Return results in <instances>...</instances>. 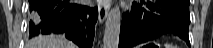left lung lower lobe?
Listing matches in <instances>:
<instances>
[{"instance_id": "0a47b994", "label": "left lung lower lobe", "mask_w": 213, "mask_h": 48, "mask_svg": "<svg viewBox=\"0 0 213 48\" xmlns=\"http://www.w3.org/2000/svg\"><path fill=\"white\" fill-rule=\"evenodd\" d=\"M189 3L183 0H140L123 15L119 48H131L165 33H174L190 46Z\"/></svg>"}]
</instances>
